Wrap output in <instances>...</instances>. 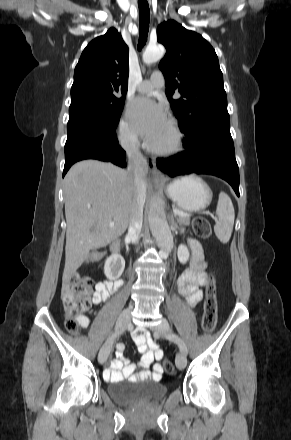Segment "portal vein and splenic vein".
I'll list each match as a JSON object with an SVG mask.
<instances>
[{"instance_id":"obj_1","label":"portal vein and splenic vein","mask_w":291,"mask_h":440,"mask_svg":"<svg viewBox=\"0 0 291 440\" xmlns=\"http://www.w3.org/2000/svg\"><path fill=\"white\" fill-rule=\"evenodd\" d=\"M173 213H174V215L181 216V217H190V214L185 213L183 211H180L178 209H173ZM113 226H114V222H111L110 227H113Z\"/></svg>"}]
</instances>
